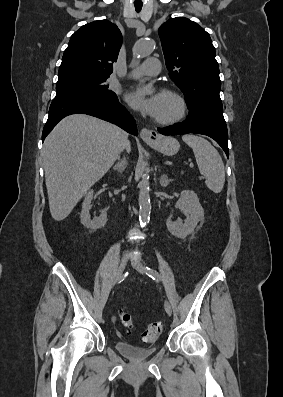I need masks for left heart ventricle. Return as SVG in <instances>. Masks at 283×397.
Wrapping results in <instances>:
<instances>
[{"label": "left heart ventricle", "mask_w": 283, "mask_h": 397, "mask_svg": "<svg viewBox=\"0 0 283 397\" xmlns=\"http://www.w3.org/2000/svg\"><path fill=\"white\" fill-rule=\"evenodd\" d=\"M159 97V109L155 118L163 119L169 118L175 115L178 112V103L177 101L167 95H158Z\"/></svg>", "instance_id": "b2bd125f"}]
</instances>
